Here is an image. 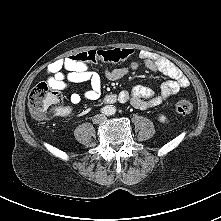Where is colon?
Returning <instances> with one entry per match:
<instances>
[{
  "label": "colon",
  "mask_w": 221,
  "mask_h": 221,
  "mask_svg": "<svg viewBox=\"0 0 221 221\" xmlns=\"http://www.w3.org/2000/svg\"><path fill=\"white\" fill-rule=\"evenodd\" d=\"M133 51L127 48L109 50H88L71 57L72 61L86 65L99 62L118 63L128 59ZM62 94L49 88L46 84L36 85L30 92L28 107L31 115L38 121H47L62 112ZM193 105L186 100H179L175 104V112L179 115H189Z\"/></svg>",
  "instance_id": "colon-1"
}]
</instances>
